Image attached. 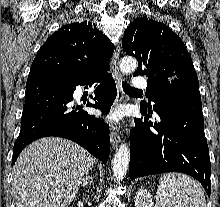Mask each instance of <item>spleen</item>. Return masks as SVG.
Wrapping results in <instances>:
<instances>
[{"mask_svg":"<svg viewBox=\"0 0 220 207\" xmlns=\"http://www.w3.org/2000/svg\"><path fill=\"white\" fill-rule=\"evenodd\" d=\"M155 198L156 207H206L200 184L185 174L163 175Z\"/></svg>","mask_w":220,"mask_h":207,"instance_id":"1","label":"spleen"}]
</instances>
